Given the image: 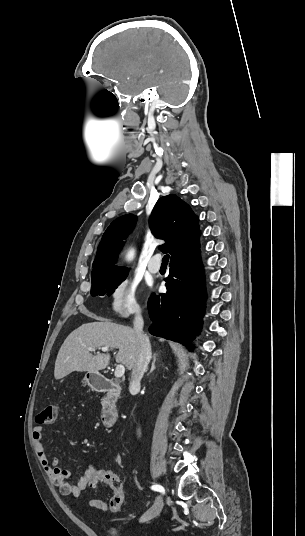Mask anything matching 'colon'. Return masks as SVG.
Masks as SVG:
<instances>
[{
	"label": "colon",
	"instance_id": "obj_1",
	"mask_svg": "<svg viewBox=\"0 0 305 536\" xmlns=\"http://www.w3.org/2000/svg\"><path fill=\"white\" fill-rule=\"evenodd\" d=\"M58 411V404H49L43 411H36L34 423L36 425H39L40 423L47 424L56 418ZM91 474L93 478L87 482V489L92 490L95 486H111L112 496L109 504L110 509L113 511L120 510L124 502V490L119 476L117 474L108 476L109 470L107 468L100 469L98 467L93 468Z\"/></svg>",
	"mask_w": 305,
	"mask_h": 536
}]
</instances>
